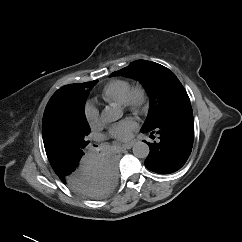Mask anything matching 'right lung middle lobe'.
Returning <instances> with one entry per match:
<instances>
[{"label":"right lung middle lobe","instance_id":"obj_1","mask_svg":"<svg viewBox=\"0 0 242 242\" xmlns=\"http://www.w3.org/2000/svg\"><path fill=\"white\" fill-rule=\"evenodd\" d=\"M96 83L97 80L88 84L87 90L74 106L58 108L43 118V141L51 165L84 156L83 148L89 143L86 136L90 133L84 105L89 90Z\"/></svg>","mask_w":242,"mask_h":242}]
</instances>
